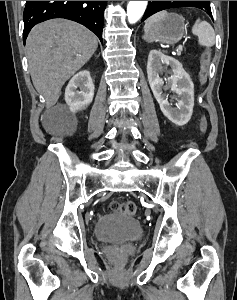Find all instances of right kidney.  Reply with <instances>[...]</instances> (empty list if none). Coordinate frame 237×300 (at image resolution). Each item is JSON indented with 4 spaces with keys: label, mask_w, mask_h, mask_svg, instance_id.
Listing matches in <instances>:
<instances>
[{
    "label": "right kidney",
    "mask_w": 237,
    "mask_h": 300,
    "mask_svg": "<svg viewBox=\"0 0 237 300\" xmlns=\"http://www.w3.org/2000/svg\"><path fill=\"white\" fill-rule=\"evenodd\" d=\"M94 89L89 71H80L72 77L65 89V101L73 113L85 109L92 103Z\"/></svg>",
    "instance_id": "ca27d5eb"
}]
</instances>
